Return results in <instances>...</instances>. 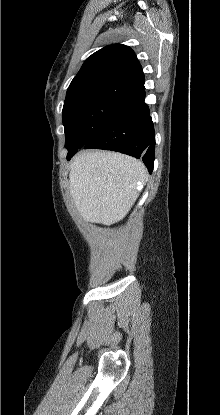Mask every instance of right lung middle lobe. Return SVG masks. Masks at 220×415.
<instances>
[{
    "mask_svg": "<svg viewBox=\"0 0 220 415\" xmlns=\"http://www.w3.org/2000/svg\"><path fill=\"white\" fill-rule=\"evenodd\" d=\"M139 90L116 78H99L70 86L63 106L65 147L84 146L112 112Z\"/></svg>",
    "mask_w": 220,
    "mask_h": 415,
    "instance_id": "right-lung-middle-lobe-1",
    "label": "right lung middle lobe"
}]
</instances>
